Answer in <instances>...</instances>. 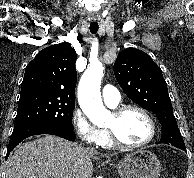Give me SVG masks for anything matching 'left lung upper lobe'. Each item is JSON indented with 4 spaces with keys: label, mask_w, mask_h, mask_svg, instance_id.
I'll return each instance as SVG.
<instances>
[{
    "label": "left lung upper lobe",
    "mask_w": 194,
    "mask_h": 178,
    "mask_svg": "<svg viewBox=\"0 0 194 178\" xmlns=\"http://www.w3.org/2000/svg\"><path fill=\"white\" fill-rule=\"evenodd\" d=\"M115 77L135 103L154 112L162 126L177 125L160 67L143 51L126 48L114 63Z\"/></svg>",
    "instance_id": "left-lung-upper-lobe-1"
}]
</instances>
